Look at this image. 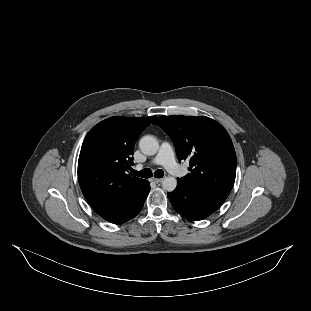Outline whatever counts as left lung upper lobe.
<instances>
[{
	"label": "left lung upper lobe",
	"mask_w": 311,
	"mask_h": 311,
	"mask_svg": "<svg viewBox=\"0 0 311 311\" xmlns=\"http://www.w3.org/2000/svg\"><path fill=\"white\" fill-rule=\"evenodd\" d=\"M153 124L172 139L178 160L190 159V173L178 182L229 195L235 182L236 154L222 125L206 116H160Z\"/></svg>",
	"instance_id": "obj_1"
}]
</instances>
